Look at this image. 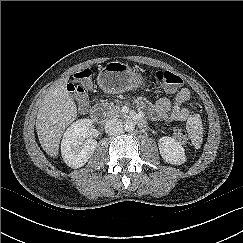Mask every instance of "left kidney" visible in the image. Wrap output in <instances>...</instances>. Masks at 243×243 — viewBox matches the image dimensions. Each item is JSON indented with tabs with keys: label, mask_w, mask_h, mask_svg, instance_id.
I'll return each instance as SVG.
<instances>
[{
	"label": "left kidney",
	"mask_w": 243,
	"mask_h": 243,
	"mask_svg": "<svg viewBox=\"0 0 243 243\" xmlns=\"http://www.w3.org/2000/svg\"><path fill=\"white\" fill-rule=\"evenodd\" d=\"M158 145L160 154L166 162L172 165H181L185 163V150L174 138L169 136L161 137L158 141Z\"/></svg>",
	"instance_id": "obj_1"
}]
</instances>
